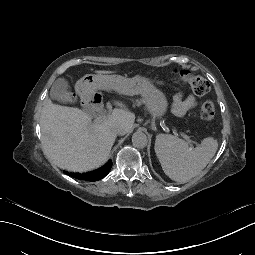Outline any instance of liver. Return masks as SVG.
Instances as JSON below:
<instances>
[{
  "mask_svg": "<svg viewBox=\"0 0 255 255\" xmlns=\"http://www.w3.org/2000/svg\"><path fill=\"white\" fill-rule=\"evenodd\" d=\"M118 71L94 70L109 88L120 91ZM152 94L167 102L164 92L152 85ZM115 106L111 115L101 123H90V118L76 107L56 105L47 100L41 112L42 145L46 156L60 167L75 171L92 169L103 164L110 156L117 139L113 126L122 124L129 132L135 116L127 103L112 98Z\"/></svg>",
  "mask_w": 255,
  "mask_h": 255,
  "instance_id": "obj_1",
  "label": "liver"
}]
</instances>
